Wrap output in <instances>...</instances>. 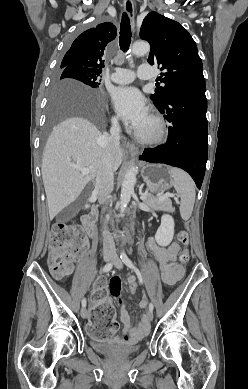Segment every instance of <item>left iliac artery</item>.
Segmentation results:
<instances>
[{
  "mask_svg": "<svg viewBox=\"0 0 248 389\" xmlns=\"http://www.w3.org/2000/svg\"><path fill=\"white\" fill-rule=\"evenodd\" d=\"M120 258L121 260L125 263L126 266H128L129 268H131L138 276L139 278V282L141 284H143V278H142V275L140 273V271L134 266V264L132 263V261L129 259V257L126 255V253L122 250L121 253H120ZM153 304L152 303H149V310L150 311H153Z\"/></svg>",
  "mask_w": 248,
  "mask_h": 389,
  "instance_id": "1",
  "label": "left iliac artery"
}]
</instances>
